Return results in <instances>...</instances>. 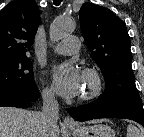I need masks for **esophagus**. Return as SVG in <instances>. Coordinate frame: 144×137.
Wrapping results in <instances>:
<instances>
[{
    "mask_svg": "<svg viewBox=\"0 0 144 137\" xmlns=\"http://www.w3.org/2000/svg\"><path fill=\"white\" fill-rule=\"evenodd\" d=\"M63 126L67 129H76L79 127L77 122L69 116L65 117V119L63 121Z\"/></svg>",
    "mask_w": 144,
    "mask_h": 137,
    "instance_id": "obj_1",
    "label": "esophagus"
}]
</instances>
